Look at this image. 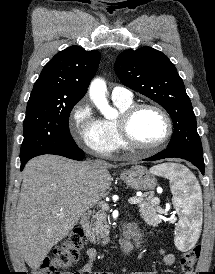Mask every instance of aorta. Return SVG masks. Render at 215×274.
Listing matches in <instances>:
<instances>
[{
	"label": "aorta",
	"instance_id": "obj_1",
	"mask_svg": "<svg viewBox=\"0 0 215 274\" xmlns=\"http://www.w3.org/2000/svg\"><path fill=\"white\" fill-rule=\"evenodd\" d=\"M106 84L101 79H95L92 81L89 89V94L96 107L107 118L111 119L116 117L117 111L109 106L105 97Z\"/></svg>",
	"mask_w": 215,
	"mask_h": 274
}]
</instances>
